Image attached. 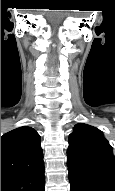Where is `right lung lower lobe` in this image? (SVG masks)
<instances>
[{
	"instance_id": "1",
	"label": "right lung lower lobe",
	"mask_w": 115,
	"mask_h": 191,
	"mask_svg": "<svg viewBox=\"0 0 115 191\" xmlns=\"http://www.w3.org/2000/svg\"><path fill=\"white\" fill-rule=\"evenodd\" d=\"M44 170L25 177L1 178V191H44Z\"/></svg>"
}]
</instances>
